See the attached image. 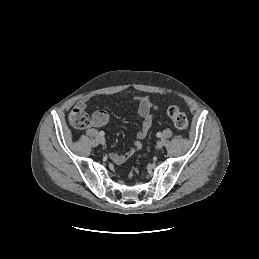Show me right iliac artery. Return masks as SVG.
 Returning <instances> with one entry per match:
<instances>
[{"mask_svg":"<svg viewBox=\"0 0 259 259\" xmlns=\"http://www.w3.org/2000/svg\"><path fill=\"white\" fill-rule=\"evenodd\" d=\"M100 136H104L105 135V133H104V131H100Z\"/></svg>","mask_w":259,"mask_h":259,"instance_id":"1","label":"right iliac artery"}]
</instances>
